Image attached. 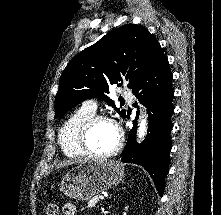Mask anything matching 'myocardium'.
Returning a JSON list of instances; mask_svg holds the SVG:
<instances>
[{
    "instance_id": "obj_1",
    "label": "myocardium",
    "mask_w": 221,
    "mask_h": 215,
    "mask_svg": "<svg viewBox=\"0 0 221 215\" xmlns=\"http://www.w3.org/2000/svg\"><path fill=\"white\" fill-rule=\"evenodd\" d=\"M103 121L111 123L116 128L118 139L115 146L111 150L104 153H97L93 151L89 145V136L94 126L97 123ZM123 143H124V134L122 132L120 125L113 118L107 115H93L84 123L79 134V145L81 149L86 155H89L94 158H108L115 155L120 151V149L123 146Z\"/></svg>"
}]
</instances>
